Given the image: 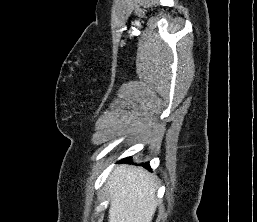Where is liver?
Wrapping results in <instances>:
<instances>
[{"instance_id":"liver-1","label":"liver","mask_w":257,"mask_h":222,"mask_svg":"<svg viewBox=\"0 0 257 222\" xmlns=\"http://www.w3.org/2000/svg\"><path fill=\"white\" fill-rule=\"evenodd\" d=\"M109 222H152L157 208L154 177L141 167L118 166L108 178Z\"/></svg>"}]
</instances>
